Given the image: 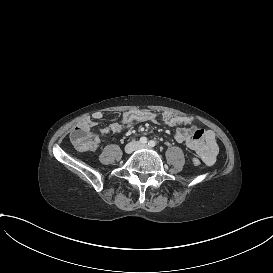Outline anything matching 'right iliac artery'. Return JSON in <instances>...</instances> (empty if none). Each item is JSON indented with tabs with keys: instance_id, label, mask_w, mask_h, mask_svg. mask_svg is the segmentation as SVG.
Returning a JSON list of instances; mask_svg holds the SVG:
<instances>
[{
	"instance_id": "right-iliac-artery-1",
	"label": "right iliac artery",
	"mask_w": 273,
	"mask_h": 273,
	"mask_svg": "<svg viewBox=\"0 0 273 273\" xmlns=\"http://www.w3.org/2000/svg\"><path fill=\"white\" fill-rule=\"evenodd\" d=\"M140 143H142V144L147 143V138L146 137H141L140 138Z\"/></svg>"
}]
</instances>
